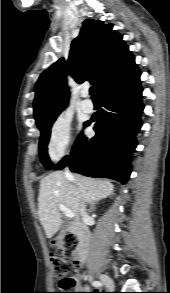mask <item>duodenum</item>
I'll list each match as a JSON object with an SVG mask.
<instances>
[{"mask_svg":"<svg viewBox=\"0 0 170 293\" xmlns=\"http://www.w3.org/2000/svg\"><path fill=\"white\" fill-rule=\"evenodd\" d=\"M69 231L74 234L80 241V251L78 254L79 260L82 262L88 258L89 246L91 241V232L85 228L71 226Z\"/></svg>","mask_w":170,"mask_h":293,"instance_id":"duodenum-1","label":"duodenum"}]
</instances>
